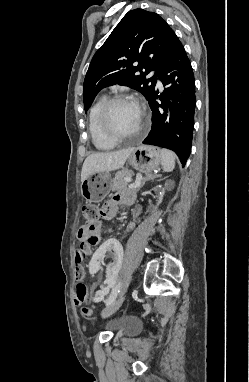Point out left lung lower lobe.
I'll use <instances>...</instances> for the list:
<instances>
[{"instance_id":"left-lung-lower-lobe-1","label":"left lung lower lobe","mask_w":249,"mask_h":382,"mask_svg":"<svg viewBox=\"0 0 249 382\" xmlns=\"http://www.w3.org/2000/svg\"><path fill=\"white\" fill-rule=\"evenodd\" d=\"M158 79L167 88L161 94L154 88L147 99L152 128L143 144L171 149L185 165L191 152L196 97L193 70L179 39L162 64Z\"/></svg>"}]
</instances>
